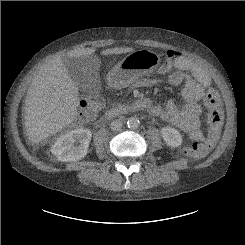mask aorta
Wrapping results in <instances>:
<instances>
[{
    "label": "aorta",
    "mask_w": 245,
    "mask_h": 245,
    "mask_svg": "<svg viewBox=\"0 0 245 245\" xmlns=\"http://www.w3.org/2000/svg\"><path fill=\"white\" fill-rule=\"evenodd\" d=\"M140 122L136 117H131L127 121V126L132 129L138 128Z\"/></svg>",
    "instance_id": "obj_1"
}]
</instances>
